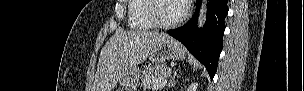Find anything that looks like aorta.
Returning a JSON list of instances; mask_svg holds the SVG:
<instances>
[{"mask_svg": "<svg viewBox=\"0 0 304 91\" xmlns=\"http://www.w3.org/2000/svg\"><path fill=\"white\" fill-rule=\"evenodd\" d=\"M207 0H203L201 3L199 17H198V27L201 28L204 26L207 18Z\"/></svg>", "mask_w": 304, "mask_h": 91, "instance_id": "1", "label": "aorta"}]
</instances>
